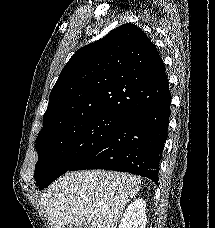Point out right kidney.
I'll return each instance as SVG.
<instances>
[{"label":"right kidney","instance_id":"obj_1","mask_svg":"<svg viewBox=\"0 0 215 228\" xmlns=\"http://www.w3.org/2000/svg\"><path fill=\"white\" fill-rule=\"evenodd\" d=\"M119 228H146V202L142 198L133 200L127 206Z\"/></svg>","mask_w":215,"mask_h":228}]
</instances>
